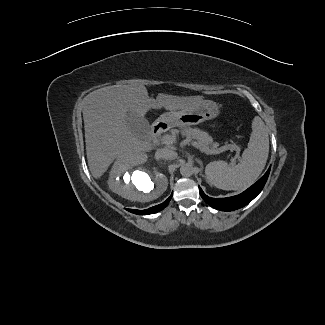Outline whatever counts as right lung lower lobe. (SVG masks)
<instances>
[{
    "mask_svg": "<svg viewBox=\"0 0 325 325\" xmlns=\"http://www.w3.org/2000/svg\"><path fill=\"white\" fill-rule=\"evenodd\" d=\"M171 198H172V195L166 201H164L163 203H161L159 205H156V206H153V207H151L149 209H146V210H135V209H127V210L132 212V213L138 214V215L153 214V213L159 212L160 210L164 209L168 205Z\"/></svg>",
    "mask_w": 325,
    "mask_h": 325,
    "instance_id": "right-lung-lower-lobe-1",
    "label": "right lung lower lobe"
}]
</instances>
